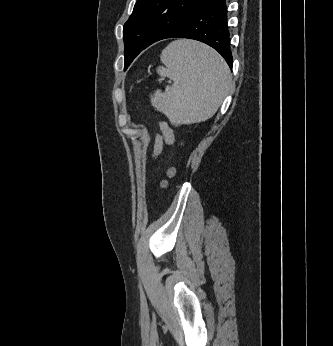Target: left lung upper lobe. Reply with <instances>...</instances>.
<instances>
[{
	"instance_id": "left-lung-upper-lobe-1",
	"label": "left lung upper lobe",
	"mask_w": 333,
	"mask_h": 346,
	"mask_svg": "<svg viewBox=\"0 0 333 346\" xmlns=\"http://www.w3.org/2000/svg\"><path fill=\"white\" fill-rule=\"evenodd\" d=\"M205 0H137L123 28L125 69Z\"/></svg>"
}]
</instances>
